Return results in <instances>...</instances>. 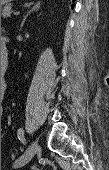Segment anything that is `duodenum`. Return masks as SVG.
Listing matches in <instances>:
<instances>
[{
    "instance_id": "obj_1",
    "label": "duodenum",
    "mask_w": 109,
    "mask_h": 170,
    "mask_svg": "<svg viewBox=\"0 0 109 170\" xmlns=\"http://www.w3.org/2000/svg\"><path fill=\"white\" fill-rule=\"evenodd\" d=\"M3 63L4 64H7V54L5 53L4 56H3Z\"/></svg>"
}]
</instances>
